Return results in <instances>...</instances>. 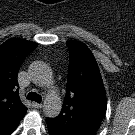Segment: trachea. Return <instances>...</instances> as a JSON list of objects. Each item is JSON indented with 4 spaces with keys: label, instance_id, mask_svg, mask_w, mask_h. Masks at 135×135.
I'll use <instances>...</instances> for the list:
<instances>
[{
    "label": "trachea",
    "instance_id": "1",
    "mask_svg": "<svg viewBox=\"0 0 135 135\" xmlns=\"http://www.w3.org/2000/svg\"><path fill=\"white\" fill-rule=\"evenodd\" d=\"M27 99H28V100H31V101H35V102H37V103H41V101H42L41 95L36 94V93H34V92H30V93L27 95Z\"/></svg>",
    "mask_w": 135,
    "mask_h": 135
}]
</instances>
